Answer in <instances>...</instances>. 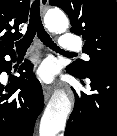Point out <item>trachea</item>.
<instances>
[{"label": "trachea", "instance_id": "1", "mask_svg": "<svg viewBox=\"0 0 117 136\" xmlns=\"http://www.w3.org/2000/svg\"><path fill=\"white\" fill-rule=\"evenodd\" d=\"M37 34L38 38L45 44L46 46L50 47L51 49L61 52L67 53L71 55H76L75 53H69L67 51L61 50L51 39L49 34L43 27L41 17H40V2L36 0L33 2L31 6L30 12V20L27 27V31L22 39L16 42L17 51H25L27 50L32 41L34 36Z\"/></svg>", "mask_w": 117, "mask_h": 136}]
</instances>
